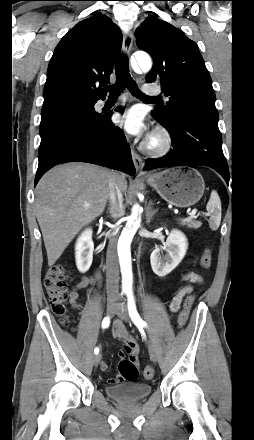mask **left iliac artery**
<instances>
[{
    "instance_id": "left-iliac-artery-1",
    "label": "left iliac artery",
    "mask_w": 254,
    "mask_h": 440,
    "mask_svg": "<svg viewBox=\"0 0 254 440\" xmlns=\"http://www.w3.org/2000/svg\"><path fill=\"white\" fill-rule=\"evenodd\" d=\"M127 297H128V311L131 320L137 327H147V323L142 320L139 313L137 312L133 293L128 292Z\"/></svg>"
}]
</instances>
